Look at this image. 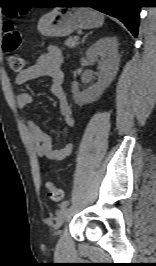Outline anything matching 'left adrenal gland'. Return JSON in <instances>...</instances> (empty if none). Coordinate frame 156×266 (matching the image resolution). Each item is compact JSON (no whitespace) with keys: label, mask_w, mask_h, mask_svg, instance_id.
<instances>
[{"label":"left adrenal gland","mask_w":156,"mask_h":266,"mask_svg":"<svg viewBox=\"0 0 156 266\" xmlns=\"http://www.w3.org/2000/svg\"><path fill=\"white\" fill-rule=\"evenodd\" d=\"M89 34H86L85 36H84V38H83V40L82 41H84L85 40V38L88 36Z\"/></svg>","instance_id":"a2214340"}]
</instances>
